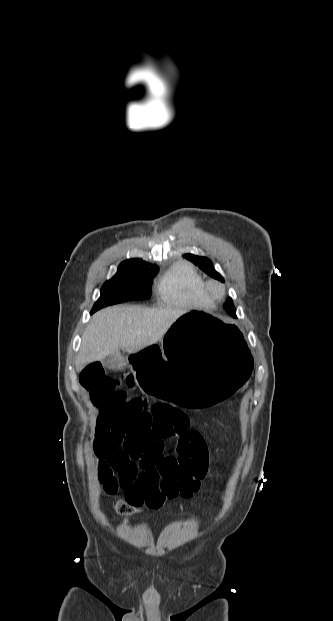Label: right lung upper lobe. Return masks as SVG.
Masks as SVG:
<instances>
[{"label": "right lung upper lobe", "mask_w": 333, "mask_h": 621, "mask_svg": "<svg viewBox=\"0 0 333 621\" xmlns=\"http://www.w3.org/2000/svg\"><path fill=\"white\" fill-rule=\"evenodd\" d=\"M121 264H135V265H140V266H145V267H157L155 265L149 266V264L139 258H134V259H129L126 261H123Z\"/></svg>", "instance_id": "obj_1"}]
</instances>
